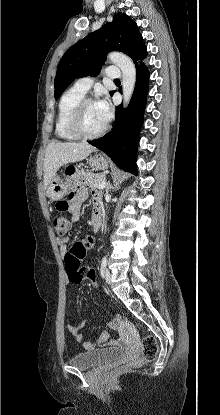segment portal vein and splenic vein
<instances>
[{"mask_svg":"<svg viewBox=\"0 0 220 415\" xmlns=\"http://www.w3.org/2000/svg\"><path fill=\"white\" fill-rule=\"evenodd\" d=\"M105 186H106V182H105V181H103V182H101V184L99 185L98 189H104V188H105Z\"/></svg>","mask_w":220,"mask_h":415,"instance_id":"portal-vein-and-splenic-vein-1","label":"portal vein and splenic vein"}]
</instances>
